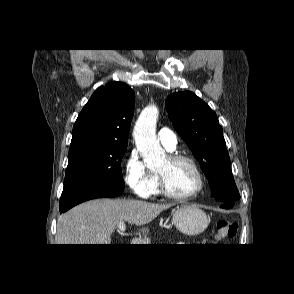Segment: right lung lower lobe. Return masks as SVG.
I'll list each match as a JSON object with an SVG mask.
<instances>
[{
    "mask_svg": "<svg viewBox=\"0 0 294 294\" xmlns=\"http://www.w3.org/2000/svg\"><path fill=\"white\" fill-rule=\"evenodd\" d=\"M123 186L94 185L76 188L74 191L61 195L59 210L61 213L84 201L95 198H111L122 194Z\"/></svg>",
    "mask_w": 294,
    "mask_h": 294,
    "instance_id": "right-lung-lower-lobe-1",
    "label": "right lung lower lobe"
}]
</instances>
